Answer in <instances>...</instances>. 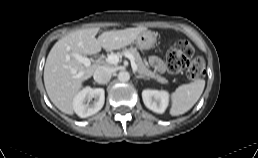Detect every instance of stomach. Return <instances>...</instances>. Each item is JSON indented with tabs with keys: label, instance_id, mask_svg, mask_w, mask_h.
<instances>
[{
	"label": "stomach",
	"instance_id": "1",
	"mask_svg": "<svg viewBox=\"0 0 258 158\" xmlns=\"http://www.w3.org/2000/svg\"><path fill=\"white\" fill-rule=\"evenodd\" d=\"M156 42V35L154 32L145 30L141 32L135 39V44L140 50L151 49Z\"/></svg>",
	"mask_w": 258,
	"mask_h": 158
}]
</instances>
